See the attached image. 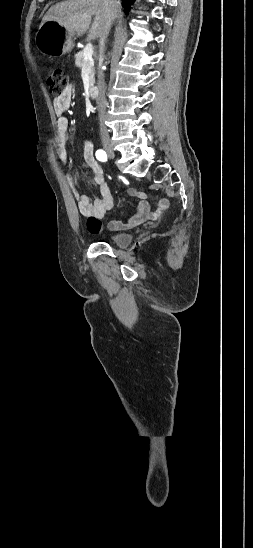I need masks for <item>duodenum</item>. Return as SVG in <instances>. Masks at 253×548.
Here are the masks:
<instances>
[{"mask_svg": "<svg viewBox=\"0 0 253 548\" xmlns=\"http://www.w3.org/2000/svg\"><path fill=\"white\" fill-rule=\"evenodd\" d=\"M88 94L90 98H93V99L97 98L99 94V90L96 86H92L89 88Z\"/></svg>", "mask_w": 253, "mask_h": 548, "instance_id": "obj_1", "label": "duodenum"}]
</instances>
